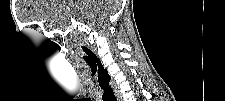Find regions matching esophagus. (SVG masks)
<instances>
[{
    "label": "esophagus",
    "mask_w": 225,
    "mask_h": 101,
    "mask_svg": "<svg viewBox=\"0 0 225 101\" xmlns=\"http://www.w3.org/2000/svg\"><path fill=\"white\" fill-rule=\"evenodd\" d=\"M117 100L122 101V97L121 96H118L117 97Z\"/></svg>",
    "instance_id": "obj_1"
}]
</instances>
